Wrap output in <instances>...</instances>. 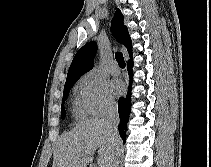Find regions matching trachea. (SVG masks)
Here are the masks:
<instances>
[{
  "label": "trachea",
  "mask_w": 211,
  "mask_h": 167,
  "mask_svg": "<svg viewBox=\"0 0 211 167\" xmlns=\"http://www.w3.org/2000/svg\"><path fill=\"white\" fill-rule=\"evenodd\" d=\"M115 58H116V60H117V62L119 64V66L121 68H124L125 67V61H124L122 53L117 52L116 55H115Z\"/></svg>",
  "instance_id": "1"
}]
</instances>
